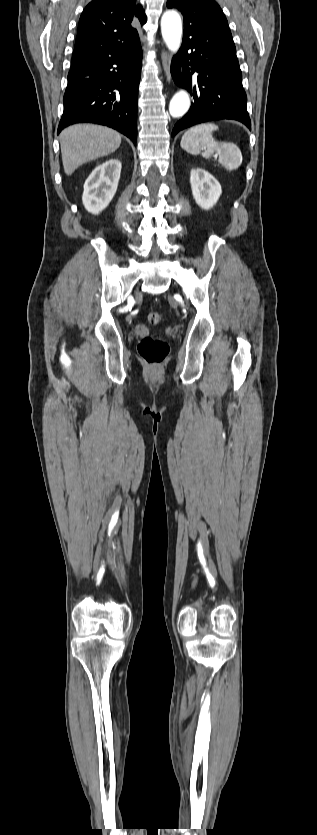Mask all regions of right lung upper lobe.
<instances>
[{"label":"right lung upper lobe","mask_w":317,"mask_h":835,"mask_svg":"<svg viewBox=\"0 0 317 835\" xmlns=\"http://www.w3.org/2000/svg\"><path fill=\"white\" fill-rule=\"evenodd\" d=\"M147 17L136 0H93L81 14L75 50L115 49L139 38Z\"/></svg>","instance_id":"cb5924a9"}]
</instances>
